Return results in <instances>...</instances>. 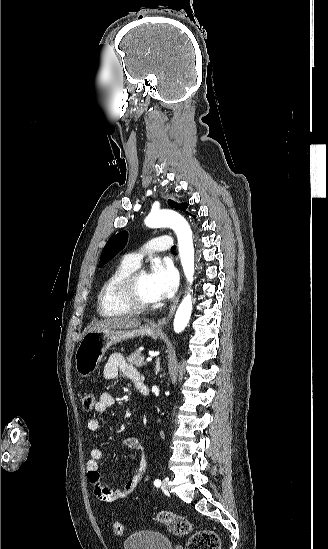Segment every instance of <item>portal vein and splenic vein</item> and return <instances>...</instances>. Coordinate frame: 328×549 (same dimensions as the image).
Segmentation results:
<instances>
[{"mask_svg": "<svg viewBox=\"0 0 328 549\" xmlns=\"http://www.w3.org/2000/svg\"><path fill=\"white\" fill-rule=\"evenodd\" d=\"M146 361H152L151 356H148V358H146Z\"/></svg>", "mask_w": 328, "mask_h": 549, "instance_id": "1", "label": "portal vein and splenic vein"}]
</instances>
